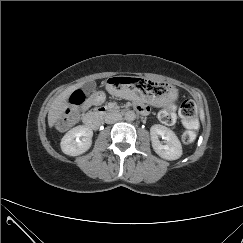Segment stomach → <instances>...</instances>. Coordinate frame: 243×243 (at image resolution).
<instances>
[{
    "label": "stomach",
    "mask_w": 243,
    "mask_h": 243,
    "mask_svg": "<svg viewBox=\"0 0 243 243\" xmlns=\"http://www.w3.org/2000/svg\"><path fill=\"white\" fill-rule=\"evenodd\" d=\"M109 92L125 100L148 103L158 107L173 104L178 97L177 90L165 84H159L148 78L115 76L107 81Z\"/></svg>",
    "instance_id": "1"
}]
</instances>
